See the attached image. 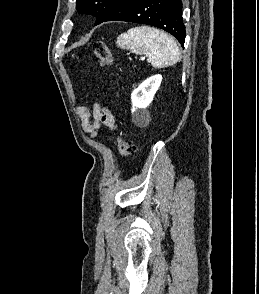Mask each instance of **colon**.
<instances>
[{
	"label": "colon",
	"mask_w": 259,
	"mask_h": 294,
	"mask_svg": "<svg viewBox=\"0 0 259 294\" xmlns=\"http://www.w3.org/2000/svg\"><path fill=\"white\" fill-rule=\"evenodd\" d=\"M93 53L97 62L101 66H109L112 63V53L110 48L102 41L93 44ZM118 149L122 157L127 158L134 152L133 144L124 136H118Z\"/></svg>",
	"instance_id": "colon-1"
}]
</instances>
